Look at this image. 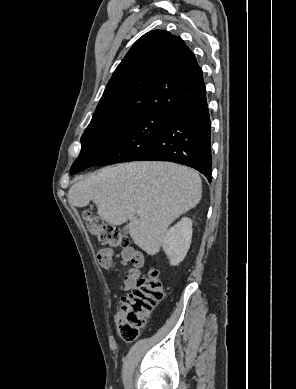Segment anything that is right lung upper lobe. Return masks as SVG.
I'll use <instances>...</instances> for the list:
<instances>
[{
  "mask_svg": "<svg viewBox=\"0 0 296 389\" xmlns=\"http://www.w3.org/2000/svg\"><path fill=\"white\" fill-rule=\"evenodd\" d=\"M207 102L203 74L184 41L155 30L138 39L117 66L93 118L110 113L175 115Z\"/></svg>",
  "mask_w": 296,
  "mask_h": 389,
  "instance_id": "cb5924a9",
  "label": "right lung upper lobe"
}]
</instances>
